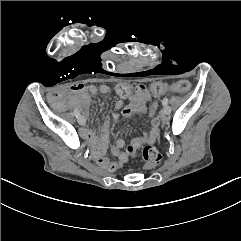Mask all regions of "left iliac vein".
<instances>
[{"instance_id":"4c4485c4","label":"left iliac vein","mask_w":241,"mask_h":241,"mask_svg":"<svg viewBox=\"0 0 241 241\" xmlns=\"http://www.w3.org/2000/svg\"><path fill=\"white\" fill-rule=\"evenodd\" d=\"M171 112V109L168 105H165L161 114L163 115V117H166L167 115H169Z\"/></svg>"}]
</instances>
